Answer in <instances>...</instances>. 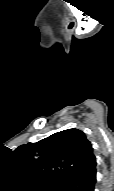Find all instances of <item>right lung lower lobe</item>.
Masks as SVG:
<instances>
[{
    "label": "right lung lower lobe",
    "instance_id": "1",
    "mask_svg": "<svg viewBox=\"0 0 114 191\" xmlns=\"http://www.w3.org/2000/svg\"><path fill=\"white\" fill-rule=\"evenodd\" d=\"M96 183V170L78 176L57 188L56 191H94Z\"/></svg>",
    "mask_w": 114,
    "mask_h": 191
}]
</instances>
